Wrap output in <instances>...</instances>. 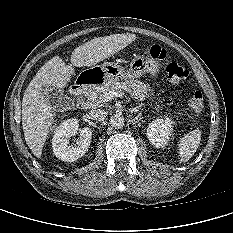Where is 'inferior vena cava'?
I'll return each mask as SVG.
<instances>
[{
    "instance_id": "obj_1",
    "label": "inferior vena cava",
    "mask_w": 233,
    "mask_h": 233,
    "mask_svg": "<svg viewBox=\"0 0 233 233\" xmlns=\"http://www.w3.org/2000/svg\"><path fill=\"white\" fill-rule=\"evenodd\" d=\"M106 115H107L106 111L100 108L92 109L89 112L90 118L96 121H103Z\"/></svg>"
}]
</instances>
